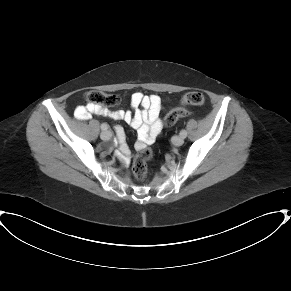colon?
I'll return each instance as SVG.
<instances>
[{"label":"colon","instance_id":"colon-1","mask_svg":"<svg viewBox=\"0 0 291 291\" xmlns=\"http://www.w3.org/2000/svg\"><path fill=\"white\" fill-rule=\"evenodd\" d=\"M86 102L88 106L108 109L119 104L120 98L114 93H107L100 90H91L86 94ZM204 96L200 92L186 93L181 99V105H202ZM187 116V112L183 108L172 109L165 117V126H173L180 118ZM152 152L149 148H142L138 151L134 163L133 172L138 179H144L147 175V162L151 158Z\"/></svg>","mask_w":291,"mask_h":291}]
</instances>
